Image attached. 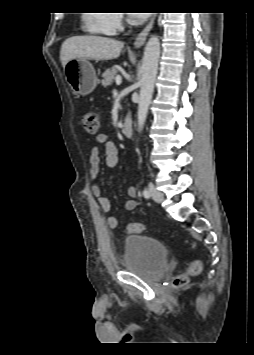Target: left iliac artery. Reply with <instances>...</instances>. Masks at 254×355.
I'll list each match as a JSON object with an SVG mask.
<instances>
[{"label": "left iliac artery", "instance_id": "1", "mask_svg": "<svg viewBox=\"0 0 254 355\" xmlns=\"http://www.w3.org/2000/svg\"><path fill=\"white\" fill-rule=\"evenodd\" d=\"M143 196H144L146 199H148V198L150 197V192H149V190H148L147 188H145V189L143 190Z\"/></svg>", "mask_w": 254, "mask_h": 355}]
</instances>
